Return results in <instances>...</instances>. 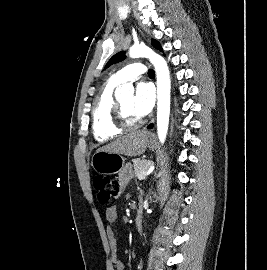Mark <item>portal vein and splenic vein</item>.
I'll list each match as a JSON object with an SVG mask.
<instances>
[{
  "mask_svg": "<svg viewBox=\"0 0 267 270\" xmlns=\"http://www.w3.org/2000/svg\"><path fill=\"white\" fill-rule=\"evenodd\" d=\"M154 169V165H152L145 173L141 174L139 176V179H143L145 177H147L148 175H150V173L153 171Z\"/></svg>",
  "mask_w": 267,
  "mask_h": 270,
  "instance_id": "1",
  "label": "portal vein and splenic vein"
}]
</instances>
